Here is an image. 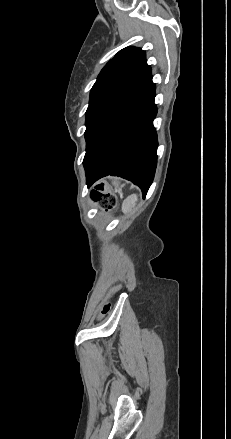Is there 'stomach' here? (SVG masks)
Instances as JSON below:
<instances>
[{"mask_svg":"<svg viewBox=\"0 0 231 439\" xmlns=\"http://www.w3.org/2000/svg\"><path fill=\"white\" fill-rule=\"evenodd\" d=\"M113 186H114V190L115 191H119V190H121L123 185H121L120 182L117 181V180H113L112 181V185H109L108 183H105V189L113 190Z\"/></svg>","mask_w":231,"mask_h":439,"instance_id":"0dacf381","label":"stomach"}]
</instances>
